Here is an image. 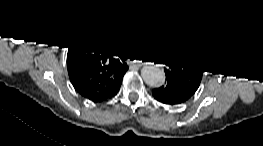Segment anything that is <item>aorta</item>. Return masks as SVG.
Returning a JSON list of instances; mask_svg holds the SVG:
<instances>
[{"instance_id":"obj_1","label":"aorta","mask_w":263,"mask_h":146,"mask_svg":"<svg viewBox=\"0 0 263 146\" xmlns=\"http://www.w3.org/2000/svg\"><path fill=\"white\" fill-rule=\"evenodd\" d=\"M141 75L145 83L152 87L161 86L165 81L164 74L150 65H146L141 69Z\"/></svg>"}]
</instances>
